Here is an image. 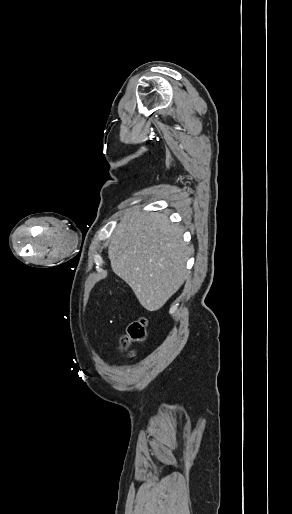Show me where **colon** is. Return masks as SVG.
<instances>
[{
	"label": "colon",
	"mask_w": 292,
	"mask_h": 514,
	"mask_svg": "<svg viewBox=\"0 0 292 514\" xmlns=\"http://www.w3.org/2000/svg\"><path fill=\"white\" fill-rule=\"evenodd\" d=\"M149 321L145 318L134 321L128 328L127 336L122 337L120 341L121 348H126L131 342L142 343L147 338V328Z\"/></svg>",
	"instance_id": "colon-1"
}]
</instances>
